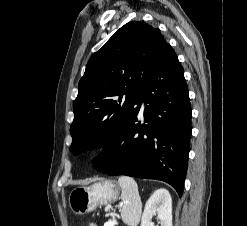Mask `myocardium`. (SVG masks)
<instances>
[{
	"instance_id": "myocardium-1",
	"label": "myocardium",
	"mask_w": 247,
	"mask_h": 226,
	"mask_svg": "<svg viewBox=\"0 0 247 226\" xmlns=\"http://www.w3.org/2000/svg\"><path fill=\"white\" fill-rule=\"evenodd\" d=\"M100 152V147L95 145L93 147L90 148L89 152H88V158L89 159H94L99 155Z\"/></svg>"
}]
</instances>
